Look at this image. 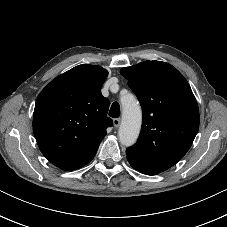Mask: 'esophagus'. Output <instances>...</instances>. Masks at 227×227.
<instances>
[{
	"instance_id": "34e87169",
	"label": "esophagus",
	"mask_w": 227,
	"mask_h": 227,
	"mask_svg": "<svg viewBox=\"0 0 227 227\" xmlns=\"http://www.w3.org/2000/svg\"><path fill=\"white\" fill-rule=\"evenodd\" d=\"M120 123H121V119H120V118H115V119L113 120V124H114V127H115V128H118L119 125H120Z\"/></svg>"
}]
</instances>
